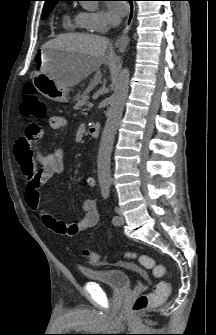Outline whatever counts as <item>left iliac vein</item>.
<instances>
[{"mask_svg": "<svg viewBox=\"0 0 216 335\" xmlns=\"http://www.w3.org/2000/svg\"><path fill=\"white\" fill-rule=\"evenodd\" d=\"M117 214H118V221L114 224L115 225H123L124 222H125V218H124L122 212L119 209H117Z\"/></svg>", "mask_w": 216, "mask_h": 335, "instance_id": "obj_1", "label": "left iliac vein"}]
</instances>
